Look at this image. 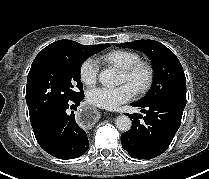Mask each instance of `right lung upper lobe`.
I'll return each mask as SVG.
<instances>
[{
    "label": "right lung upper lobe",
    "instance_id": "obj_1",
    "mask_svg": "<svg viewBox=\"0 0 209 179\" xmlns=\"http://www.w3.org/2000/svg\"><path fill=\"white\" fill-rule=\"evenodd\" d=\"M86 46H90V45H82L80 43H77L75 41H71V40H59L56 41L50 45H48L47 47H45L41 53H45V52H67V51H72V50H76L79 48H83Z\"/></svg>",
    "mask_w": 209,
    "mask_h": 179
}]
</instances>
